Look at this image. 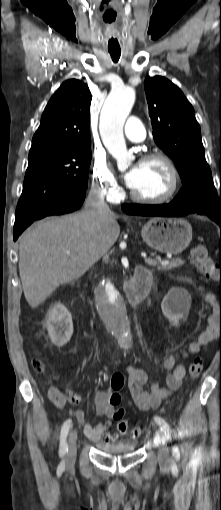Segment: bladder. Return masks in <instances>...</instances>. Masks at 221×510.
Segmentation results:
<instances>
[{"label": "bladder", "instance_id": "bladder-1", "mask_svg": "<svg viewBox=\"0 0 221 510\" xmlns=\"http://www.w3.org/2000/svg\"><path fill=\"white\" fill-rule=\"evenodd\" d=\"M97 448L100 451L113 454V455H119V454H125L130 453L134 451L136 444L131 441H117L114 443H104V442H98Z\"/></svg>", "mask_w": 221, "mask_h": 510}]
</instances>
